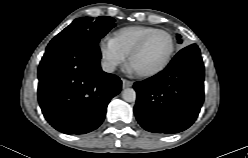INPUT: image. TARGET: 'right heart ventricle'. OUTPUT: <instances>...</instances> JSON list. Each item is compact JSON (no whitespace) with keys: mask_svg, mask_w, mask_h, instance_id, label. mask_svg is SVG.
<instances>
[{"mask_svg":"<svg viewBox=\"0 0 248 158\" xmlns=\"http://www.w3.org/2000/svg\"><path fill=\"white\" fill-rule=\"evenodd\" d=\"M155 28L148 26H129L121 28L113 33L112 40L121 50V52L128 56L136 44L149 32Z\"/></svg>","mask_w":248,"mask_h":158,"instance_id":"1","label":"right heart ventricle"}]
</instances>
